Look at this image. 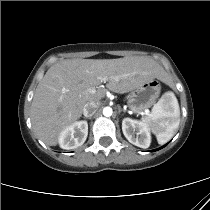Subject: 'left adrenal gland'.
<instances>
[{"label":"left adrenal gland","instance_id":"1","mask_svg":"<svg viewBox=\"0 0 210 210\" xmlns=\"http://www.w3.org/2000/svg\"><path fill=\"white\" fill-rule=\"evenodd\" d=\"M125 112L120 106L118 107V112L120 113V112Z\"/></svg>","mask_w":210,"mask_h":210}]
</instances>
